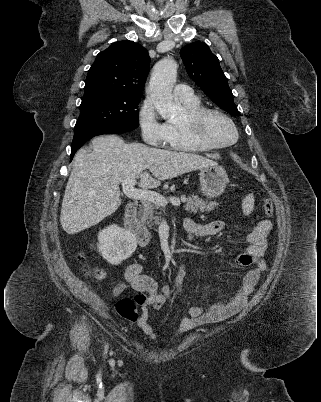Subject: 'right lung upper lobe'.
<instances>
[{
    "mask_svg": "<svg viewBox=\"0 0 321 402\" xmlns=\"http://www.w3.org/2000/svg\"><path fill=\"white\" fill-rule=\"evenodd\" d=\"M149 63L148 52L140 44L115 42L97 55L88 71L84 89H102L141 97Z\"/></svg>",
    "mask_w": 321,
    "mask_h": 402,
    "instance_id": "1",
    "label": "right lung upper lobe"
}]
</instances>
